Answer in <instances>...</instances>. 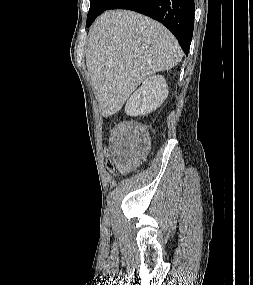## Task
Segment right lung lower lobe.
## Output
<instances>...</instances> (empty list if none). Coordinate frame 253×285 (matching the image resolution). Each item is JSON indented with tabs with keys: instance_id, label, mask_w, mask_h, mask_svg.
<instances>
[{
	"instance_id": "obj_1",
	"label": "right lung lower lobe",
	"mask_w": 253,
	"mask_h": 285,
	"mask_svg": "<svg viewBox=\"0 0 253 285\" xmlns=\"http://www.w3.org/2000/svg\"><path fill=\"white\" fill-rule=\"evenodd\" d=\"M108 9H129L161 22L188 55L194 28V0H113Z\"/></svg>"
}]
</instances>
